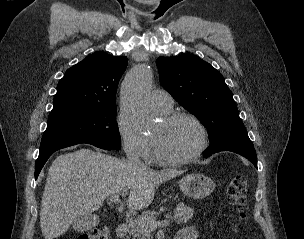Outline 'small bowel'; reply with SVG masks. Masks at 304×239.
Segmentation results:
<instances>
[{
  "label": "small bowel",
  "mask_w": 304,
  "mask_h": 239,
  "mask_svg": "<svg viewBox=\"0 0 304 239\" xmlns=\"http://www.w3.org/2000/svg\"><path fill=\"white\" fill-rule=\"evenodd\" d=\"M177 235L181 237V239H197L198 232L195 228L188 227L181 230Z\"/></svg>",
  "instance_id": "1"
}]
</instances>
